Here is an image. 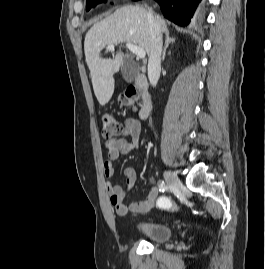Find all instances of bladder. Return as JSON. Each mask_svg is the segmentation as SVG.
<instances>
[{"label": "bladder", "mask_w": 265, "mask_h": 269, "mask_svg": "<svg viewBox=\"0 0 265 269\" xmlns=\"http://www.w3.org/2000/svg\"><path fill=\"white\" fill-rule=\"evenodd\" d=\"M137 231L154 243L166 242L173 234L169 226L159 223H143L138 227Z\"/></svg>", "instance_id": "obj_1"}]
</instances>
